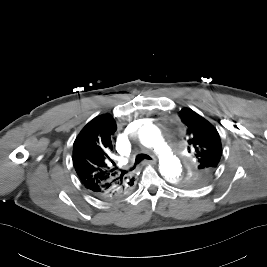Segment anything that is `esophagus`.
Here are the masks:
<instances>
[{
    "mask_svg": "<svg viewBox=\"0 0 267 267\" xmlns=\"http://www.w3.org/2000/svg\"><path fill=\"white\" fill-rule=\"evenodd\" d=\"M143 165H154L156 164V160L155 159H152V160H144L142 162Z\"/></svg>",
    "mask_w": 267,
    "mask_h": 267,
    "instance_id": "obj_1",
    "label": "esophagus"
}]
</instances>
